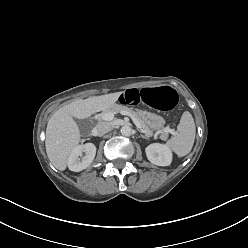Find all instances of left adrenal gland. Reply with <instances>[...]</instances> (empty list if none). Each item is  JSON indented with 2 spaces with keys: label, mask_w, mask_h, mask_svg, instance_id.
<instances>
[{
  "label": "left adrenal gland",
  "mask_w": 248,
  "mask_h": 248,
  "mask_svg": "<svg viewBox=\"0 0 248 248\" xmlns=\"http://www.w3.org/2000/svg\"><path fill=\"white\" fill-rule=\"evenodd\" d=\"M140 136H141L142 138H144V139H148V137H147L146 135L141 134Z\"/></svg>",
  "instance_id": "obj_1"
}]
</instances>
